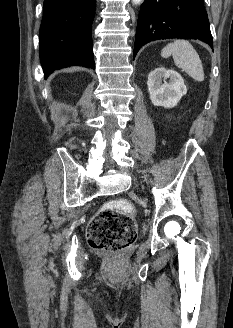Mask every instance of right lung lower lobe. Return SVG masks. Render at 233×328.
Segmentation results:
<instances>
[{"mask_svg": "<svg viewBox=\"0 0 233 328\" xmlns=\"http://www.w3.org/2000/svg\"><path fill=\"white\" fill-rule=\"evenodd\" d=\"M96 0H45L40 27L44 74L72 65L95 69L91 26Z\"/></svg>", "mask_w": 233, "mask_h": 328, "instance_id": "right-lung-lower-lobe-1", "label": "right lung lower lobe"}]
</instances>
